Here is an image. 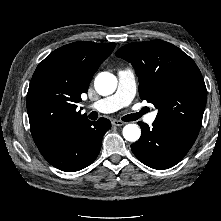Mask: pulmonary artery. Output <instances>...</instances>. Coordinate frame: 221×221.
Masks as SVG:
<instances>
[{
  "mask_svg": "<svg viewBox=\"0 0 221 221\" xmlns=\"http://www.w3.org/2000/svg\"><path fill=\"white\" fill-rule=\"evenodd\" d=\"M136 91L135 76L131 69L127 68L118 71L117 91L106 98L86 106L87 109L95 110L99 113H112L128 106L134 98ZM157 112L154 111L145 117V122L152 124L156 119Z\"/></svg>",
  "mask_w": 221,
  "mask_h": 221,
  "instance_id": "e3ab8cb5",
  "label": "pulmonary artery"
}]
</instances>
